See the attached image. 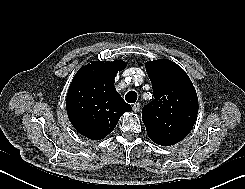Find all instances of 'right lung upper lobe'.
Returning a JSON list of instances; mask_svg holds the SVG:
<instances>
[{"instance_id":"1","label":"right lung upper lobe","mask_w":245,"mask_h":189,"mask_svg":"<svg viewBox=\"0 0 245 189\" xmlns=\"http://www.w3.org/2000/svg\"><path fill=\"white\" fill-rule=\"evenodd\" d=\"M122 60L92 61L75 74L66 98L73 127L92 140L106 137L123 113L132 110L114 86L115 75L126 67Z\"/></svg>"}]
</instances>
